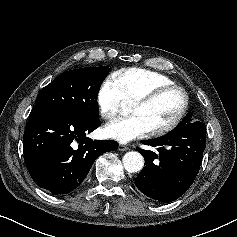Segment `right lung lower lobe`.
Returning <instances> with one entry per match:
<instances>
[{"instance_id": "obj_1", "label": "right lung lower lobe", "mask_w": 237, "mask_h": 237, "mask_svg": "<svg viewBox=\"0 0 237 237\" xmlns=\"http://www.w3.org/2000/svg\"><path fill=\"white\" fill-rule=\"evenodd\" d=\"M99 120H81L66 113L34 107L23 137V153L29 174L41 188L66 194L77 188L98 156L117 149L113 140L86 137Z\"/></svg>"}]
</instances>
